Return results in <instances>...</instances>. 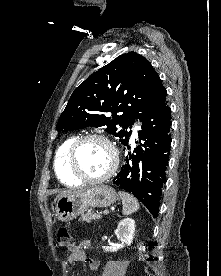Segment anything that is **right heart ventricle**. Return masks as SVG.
Returning <instances> with one entry per match:
<instances>
[{
    "label": "right heart ventricle",
    "mask_w": 221,
    "mask_h": 276,
    "mask_svg": "<svg viewBox=\"0 0 221 276\" xmlns=\"http://www.w3.org/2000/svg\"><path fill=\"white\" fill-rule=\"evenodd\" d=\"M74 139V136L65 139L58 147L54 159V169L57 177L62 183L71 186L80 183V181L71 174L67 165V152Z\"/></svg>",
    "instance_id": "e07e8e85"
}]
</instances>
